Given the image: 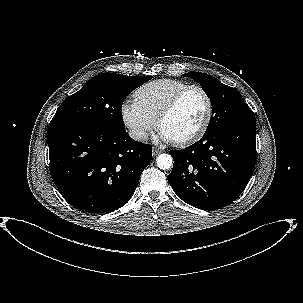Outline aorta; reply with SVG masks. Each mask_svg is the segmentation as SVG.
<instances>
[{
  "label": "aorta",
  "mask_w": 303,
  "mask_h": 303,
  "mask_svg": "<svg viewBox=\"0 0 303 303\" xmlns=\"http://www.w3.org/2000/svg\"><path fill=\"white\" fill-rule=\"evenodd\" d=\"M156 163H157L158 168H160L162 170H167L172 166L173 159H172L171 155L163 153L157 157Z\"/></svg>",
  "instance_id": "762f6f07"
}]
</instances>
